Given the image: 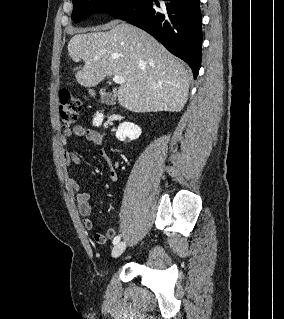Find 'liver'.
Returning a JSON list of instances; mask_svg holds the SVG:
<instances>
[{
  "instance_id": "6515ba94",
  "label": "liver",
  "mask_w": 284,
  "mask_h": 319,
  "mask_svg": "<svg viewBox=\"0 0 284 319\" xmlns=\"http://www.w3.org/2000/svg\"><path fill=\"white\" fill-rule=\"evenodd\" d=\"M86 31L80 30L68 44L72 60L85 62L75 74L79 84L94 87L107 76L119 75L125 82L113 89V96L126 109L143 113L183 109L192 74L156 39L124 22L105 32Z\"/></svg>"
}]
</instances>
